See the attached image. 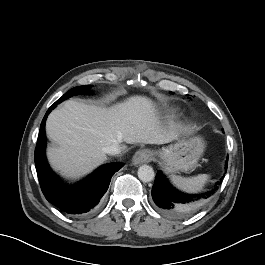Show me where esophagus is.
I'll use <instances>...</instances> for the list:
<instances>
[{"mask_svg":"<svg viewBox=\"0 0 265 265\" xmlns=\"http://www.w3.org/2000/svg\"><path fill=\"white\" fill-rule=\"evenodd\" d=\"M150 158H151V151L147 149H142V150L137 151L134 154L132 158V163L133 165H140V164L148 162Z\"/></svg>","mask_w":265,"mask_h":265,"instance_id":"1","label":"esophagus"}]
</instances>
